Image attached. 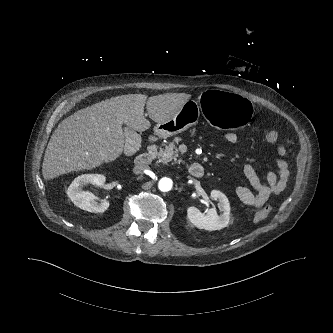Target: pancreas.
<instances>
[{
    "label": "pancreas",
    "mask_w": 333,
    "mask_h": 333,
    "mask_svg": "<svg viewBox=\"0 0 333 333\" xmlns=\"http://www.w3.org/2000/svg\"><path fill=\"white\" fill-rule=\"evenodd\" d=\"M158 159L164 164H168L171 161L180 162L175 142H170L164 149L161 148L158 152Z\"/></svg>",
    "instance_id": "obj_1"
}]
</instances>
